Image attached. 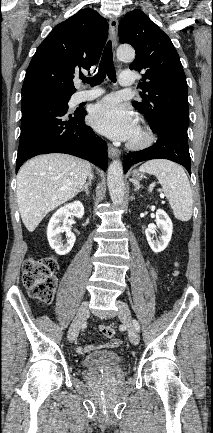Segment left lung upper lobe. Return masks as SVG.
I'll return each mask as SVG.
<instances>
[{"label": "left lung upper lobe", "mask_w": 213, "mask_h": 433, "mask_svg": "<svg viewBox=\"0 0 213 433\" xmlns=\"http://www.w3.org/2000/svg\"><path fill=\"white\" fill-rule=\"evenodd\" d=\"M118 34L121 43L131 44L136 51L129 68L143 73V92L133 102L135 109L147 116L151 128L166 120L188 126L186 76L167 34L137 9L122 18Z\"/></svg>", "instance_id": "left-lung-upper-lobe-1"}]
</instances>
